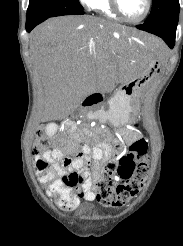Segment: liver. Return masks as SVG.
Masks as SVG:
<instances>
[{
  "label": "liver",
  "instance_id": "1",
  "mask_svg": "<svg viewBox=\"0 0 183 246\" xmlns=\"http://www.w3.org/2000/svg\"><path fill=\"white\" fill-rule=\"evenodd\" d=\"M130 35L147 40L155 52L163 48L154 37L93 16L52 18L31 32V58L57 117L68 116L87 96L110 92L144 72L149 57L127 40Z\"/></svg>",
  "mask_w": 183,
  "mask_h": 246
}]
</instances>
